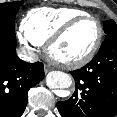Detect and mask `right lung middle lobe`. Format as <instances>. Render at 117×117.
I'll use <instances>...</instances> for the list:
<instances>
[{
    "mask_svg": "<svg viewBox=\"0 0 117 117\" xmlns=\"http://www.w3.org/2000/svg\"><path fill=\"white\" fill-rule=\"evenodd\" d=\"M20 8V2H7L0 4V22L14 23L15 15Z\"/></svg>",
    "mask_w": 117,
    "mask_h": 117,
    "instance_id": "obj_1",
    "label": "right lung middle lobe"
}]
</instances>
